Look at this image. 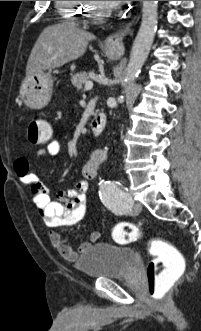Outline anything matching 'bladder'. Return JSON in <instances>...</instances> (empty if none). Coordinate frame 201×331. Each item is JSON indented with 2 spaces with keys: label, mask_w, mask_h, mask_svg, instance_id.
Here are the masks:
<instances>
[{
  "label": "bladder",
  "mask_w": 201,
  "mask_h": 331,
  "mask_svg": "<svg viewBox=\"0 0 201 331\" xmlns=\"http://www.w3.org/2000/svg\"><path fill=\"white\" fill-rule=\"evenodd\" d=\"M134 249L112 243H96L76 261V269L91 279H114L125 276L134 264Z\"/></svg>",
  "instance_id": "31cf9c89"
}]
</instances>
